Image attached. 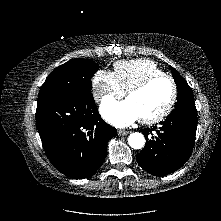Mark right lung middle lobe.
<instances>
[{
    "mask_svg": "<svg viewBox=\"0 0 221 221\" xmlns=\"http://www.w3.org/2000/svg\"><path fill=\"white\" fill-rule=\"evenodd\" d=\"M98 69V65L90 60H69L58 66L48 76L38 95V101L81 91H90L92 87L91 78Z\"/></svg>",
    "mask_w": 221,
    "mask_h": 221,
    "instance_id": "right-lung-middle-lobe-1",
    "label": "right lung middle lobe"
}]
</instances>
